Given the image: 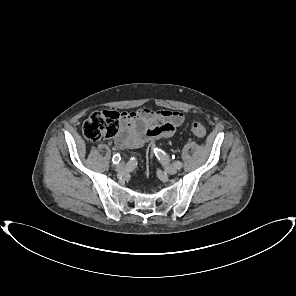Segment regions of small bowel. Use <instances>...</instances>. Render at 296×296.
<instances>
[{"label": "small bowel", "mask_w": 296, "mask_h": 296, "mask_svg": "<svg viewBox=\"0 0 296 296\" xmlns=\"http://www.w3.org/2000/svg\"><path fill=\"white\" fill-rule=\"evenodd\" d=\"M184 119L183 113L168 109L144 108L124 112L115 135V145L118 148H139L149 141L171 137Z\"/></svg>", "instance_id": "obj_1"}]
</instances>
